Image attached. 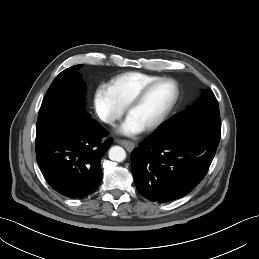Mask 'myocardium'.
Here are the masks:
<instances>
[{
    "instance_id": "f54148a6",
    "label": "myocardium",
    "mask_w": 259,
    "mask_h": 259,
    "mask_svg": "<svg viewBox=\"0 0 259 259\" xmlns=\"http://www.w3.org/2000/svg\"><path fill=\"white\" fill-rule=\"evenodd\" d=\"M162 82H169V83L173 84L174 89H175V95H174L172 102L166 108V110L163 112V114L155 122H153L152 124H150L144 128V131H146V132H150V131H153V130H156L157 128H159L167 120V118L170 116L172 111L175 109V107L179 101V98H180V87H179L178 82L175 79L170 78V77H159V78L149 82L148 84L144 85L143 87H141L131 97V99L128 101V103L125 106V113L128 115L129 112L143 100L145 95L148 93V91L152 87H154L155 85L162 83Z\"/></svg>"
}]
</instances>
